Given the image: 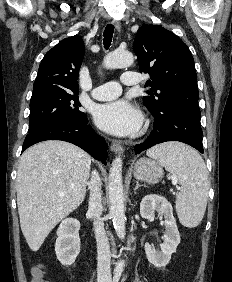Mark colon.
Segmentation results:
<instances>
[{
  "label": "colon",
  "instance_id": "5ec220e1",
  "mask_svg": "<svg viewBox=\"0 0 232 282\" xmlns=\"http://www.w3.org/2000/svg\"><path fill=\"white\" fill-rule=\"evenodd\" d=\"M32 282H44L43 268L41 266H37L34 268Z\"/></svg>",
  "mask_w": 232,
  "mask_h": 282
}]
</instances>
